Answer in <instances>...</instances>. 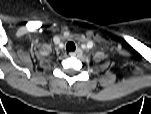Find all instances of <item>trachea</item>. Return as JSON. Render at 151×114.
<instances>
[{
    "label": "trachea",
    "instance_id": "trachea-1",
    "mask_svg": "<svg viewBox=\"0 0 151 114\" xmlns=\"http://www.w3.org/2000/svg\"><path fill=\"white\" fill-rule=\"evenodd\" d=\"M76 47L75 44L73 42H68L66 45V50L67 51H75Z\"/></svg>",
    "mask_w": 151,
    "mask_h": 114
}]
</instances>
